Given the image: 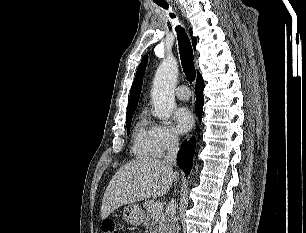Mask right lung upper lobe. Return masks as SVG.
I'll return each mask as SVG.
<instances>
[{
    "label": "right lung upper lobe",
    "mask_w": 306,
    "mask_h": 233,
    "mask_svg": "<svg viewBox=\"0 0 306 233\" xmlns=\"http://www.w3.org/2000/svg\"><path fill=\"white\" fill-rule=\"evenodd\" d=\"M190 33H192L191 29H190ZM196 43H197V40L195 37H193L192 44H193L194 49L196 47ZM146 63H147V56H145L142 59V62L137 69L136 76H135V79H134V82H133V85L130 91V99H129V104L127 107V115L134 113L137 108Z\"/></svg>",
    "instance_id": "cb5924a9"
}]
</instances>
